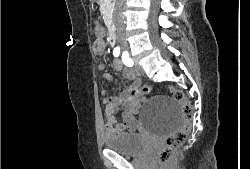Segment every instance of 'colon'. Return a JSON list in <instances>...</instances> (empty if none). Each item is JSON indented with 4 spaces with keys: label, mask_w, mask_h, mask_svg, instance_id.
<instances>
[{
    "label": "colon",
    "mask_w": 250,
    "mask_h": 169,
    "mask_svg": "<svg viewBox=\"0 0 250 169\" xmlns=\"http://www.w3.org/2000/svg\"><path fill=\"white\" fill-rule=\"evenodd\" d=\"M93 53H98V42H93ZM153 87L151 85H146V90H151ZM146 90H139L138 93L134 91H129L128 99H131V96L136 94L146 95L148 92ZM166 93H172V97H174V101H179L182 105L181 113L186 118H183V126H178V130L175 133L166 138L165 145L162 146L163 150L159 151L158 162L157 165L159 169H175V164L173 161V156L176 155V150L183 149V142L185 139H188V135L191 134L192 131V122H188L189 120H193V106L191 99L188 96H185L184 88H166ZM146 100L145 98L143 99ZM118 106L117 104L115 105Z\"/></svg>",
    "instance_id": "5ec220e1"
}]
</instances>
